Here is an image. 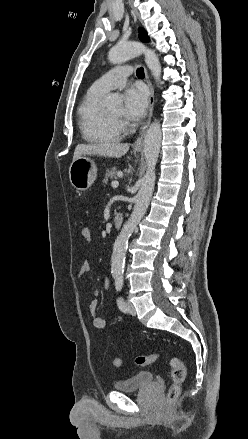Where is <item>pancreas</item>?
Masks as SVG:
<instances>
[{"mask_svg":"<svg viewBox=\"0 0 248 439\" xmlns=\"http://www.w3.org/2000/svg\"><path fill=\"white\" fill-rule=\"evenodd\" d=\"M117 170L116 168L108 169L105 173L104 182L106 183L109 178H116Z\"/></svg>","mask_w":248,"mask_h":439,"instance_id":"cf45deb5","label":"pancreas"}]
</instances>
